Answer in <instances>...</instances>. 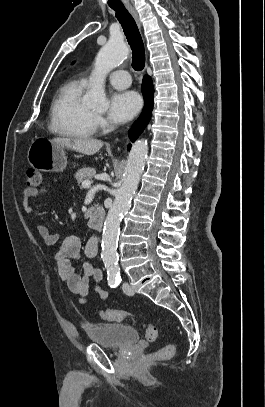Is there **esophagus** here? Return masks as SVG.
I'll list each match as a JSON object with an SVG mask.
<instances>
[{"label": "esophagus", "mask_w": 265, "mask_h": 407, "mask_svg": "<svg viewBox=\"0 0 265 407\" xmlns=\"http://www.w3.org/2000/svg\"><path fill=\"white\" fill-rule=\"evenodd\" d=\"M127 9L130 12V14L133 16V18L135 19L138 27L141 28V22H140V19L138 17L137 12L135 11V9L131 5L127 6Z\"/></svg>", "instance_id": "esophagus-1"}]
</instances>
